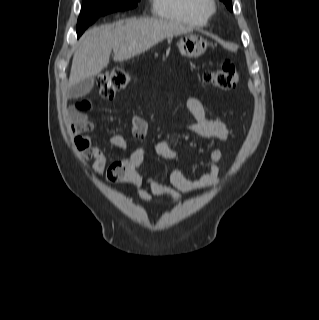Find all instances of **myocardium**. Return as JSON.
<instances>
[{"label":"myocardium","instance_id":"1","mask_svg":"<svg viewBox=\"0 0 319 320\" xmlns=\"http://www.w3.org/2000/svg\"><path fill=\"white\" fill-rule=\"evenodd\" d=\"M206 8L209 15H212L217 10L216 0H206Z\"/></svg>","mask_w":319,"mask_h":320}]
</instances>
